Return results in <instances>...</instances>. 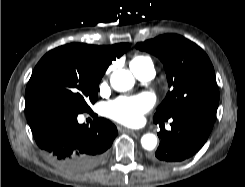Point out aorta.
I'll list each match as a JSON object with an SVG mask.
<instances>
[{
	"mask_svg": "<svg viewBox=\"0 0 245 187\" xmlns=\"http://www.w3.org/2000/svg\"><path fill=\"white\" fill-rule=\"evenodd\" d=\"M110 83L114 90L124 92L134 85V77L128 70L119 69L112 73ZM142 147L146 150H153L157 145V137L154 134H145L141 138Z\"/></svg>",
	"mask_w": 245,
	"mask_h": 187,
	"instance_id": "aorta-1",
	"label": "aorta"
}]
</instances>
